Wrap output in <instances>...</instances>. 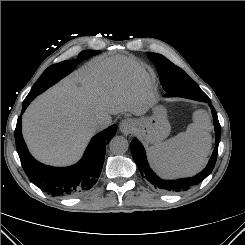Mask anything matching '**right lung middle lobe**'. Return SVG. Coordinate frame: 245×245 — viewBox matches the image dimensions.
<instances>
[{"mask_svg":"<svg viewBox=\"0 0 245 245\" xmlns=\"http://www.w3.org/2000/svg\"><path fill=\"white\" fill-rule=\"evenodd\" d=\"M98 53L99 51L96 50H85L78 55L76 60H65L63 62L51 65L43 72L37 82L33 85L31 91L25 99L32 101L37 95L44 92L47 88L72 72L75 66L82 60Z\"/></svg>","mask_w":245,"mask_h":245,"instance_id":"dd1d6c3e","label":"right lung middle lobe"}]
</instances>
